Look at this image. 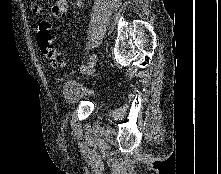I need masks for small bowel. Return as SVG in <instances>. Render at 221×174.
Masks as SVG:
<instances>
[{
    "label": "small bowel",
    "mask_w": 221,
    "mask_h": 174,
    "mask_svg": "<svg viewBox=\"0 0 221 174\" xmlns=\"http://www.w3.org/2000/svg\"><path fill=\"white\" fill-rule=\"evenodd\" d=\"M30 10L35 16H39L42 13V6L38 3V0L31 2ZM50 11L53 17L59 20H63L66 17L68 11L67 0H54Z\"/></svg>",
    "instance_id": "c3829d8e"
}]
</instances>
